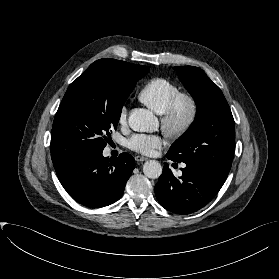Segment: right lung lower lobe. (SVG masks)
<instances>
[{"instance_id": "right-lung-lower-lobe-1", "label": "right lung lower lobe", "mask_w": 279, "mask_h": 279, "mask_svg": "<svg viewBox=\"0 0 279 279\" xmlns=\"http://www.w3.org/2000/svg\"><path fill=\"white\" fill-rule=\"evenodd\" d=\"M134 162L128 153L112 160L103 157L102 151H93L53 164L60 183L75 201L89 208H100L122 196Z\"/></svg>"}]
</instances>
